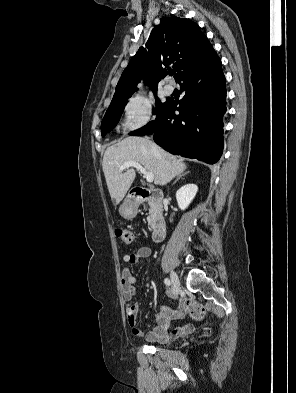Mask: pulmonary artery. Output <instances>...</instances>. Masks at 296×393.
<instances>
[{
    "instance_id": "obj_1",
    "label": "pulmonary artery",
    "mask_w": 296,
    "mask_h": 393,
    "mask_svg": "<svg viewBox=\"0 0 296 393\" xmlns=\"http://www.w3.org/2000/svg\"><path fill=\"white\" fill-rule=\"evenodd\" d=\"M163 90H164V93H165L166 95H170V94H172V92H173V90H174V87H173V85L170 84L169 81L167 80L166 84L164 85Z\"/></svg>"
}]
</instances>
